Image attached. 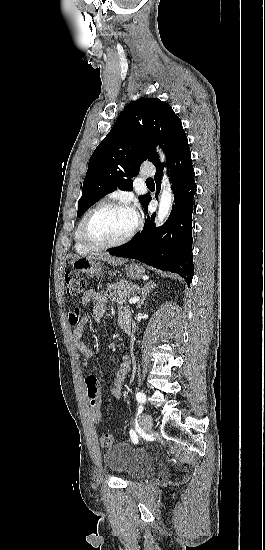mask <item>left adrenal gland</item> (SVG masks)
<instances>
[{"instance_id": "left-adrenal-gland-1", "label": "left adrenal gland", "mask_w": 265, "mask_h": 550, "mask_svg": "<svg viewBox=\"0 0 265 550\" xmlns=\"http://www.w3.org/2000/svg\"><path fill=\"white\" fill-rule=\"evenodd\" d=\"M156 286V284L153 281H149L147 284L144 285L141 291V300L138 304V309L141 308V305L144 303L147 295L152 291V289Z\"/></svg>"}]
</instances>
